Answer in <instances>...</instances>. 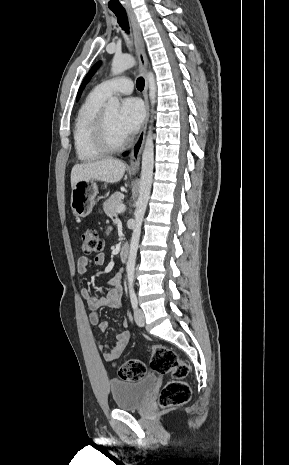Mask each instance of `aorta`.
Wrapping results in <instances>:
<instances>
[{
    "instance_id": "1",
    "label": "aorta",
    "mask_w": 289,
    "mask_h": 465,
    "mask_svg": "<svg viewBox=\"0 0 289 465\" xmlns=\"http://www.w3.org/2000/svg\"><path fill=\"white\" fill-rule=\"evenodd\" d=\"M136 64L134 57L131 55H121L115 56L112 61L111 71L114 75L120 74L123 71L133 67ZM147 82L149 87V98L151 102V112L154 113L153 107L156 102V82L155 77L152 72H148ZM120 102L118 98L112 97L108 100V107L112 109H118ZM153 122V119L150 121ZM152 125L149 126L147 133L145 146L142 154V167H141V180H140V190L139 197L136 203V209L134 212L135 216V227L133 229L129 257L126 266L127 280L129 289H133L134 283V272H135V262L137 256V250L139 246L140 234H141V225L144 219L147 203L150 196L152 177H153V167H154V143L152 136Z\"/></svg>"
}]
</instances>
